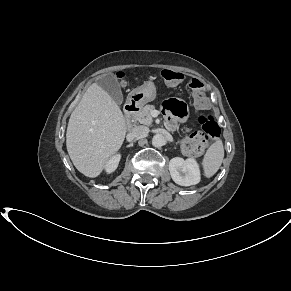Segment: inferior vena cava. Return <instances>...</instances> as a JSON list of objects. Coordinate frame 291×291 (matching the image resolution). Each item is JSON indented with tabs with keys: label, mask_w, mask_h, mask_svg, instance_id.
<instances>
[{
	"label": "inferior vena cava",
	"mask_w": 291,
	"mask_h": 291,
	"mask_svg": "<svg viewBox=\"0 0 291 291\" xmlns=\"http://www.w3.org/2000/svg\"><path fill=\"white\" fill-rule=\"evenodd\" d=\"M149 133V129L145 126H136L134 127L131 132L129 133V135L132 138H140V137H144Z\"/></svg>",
	"instance_id": "1"
}]
</instances>
